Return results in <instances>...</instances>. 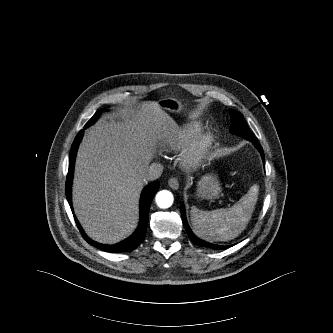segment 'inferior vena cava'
Masks as SVG:
<instances>
[{"label": "inferior vena cava", "instance_id": "obj_1", "mask_svg": "<svg viewBox=\"0 0 333 333\" xmlns=\"http://www.w3.org/2000/svg\"><path fill=\"white\" fill-rule=\"evenodd\" d=\"M163 172V166L160 163H152L145 174L146 180H156Z\"/></svg>", "mask_w": 333, "mask_h": 333}]
</instances>
